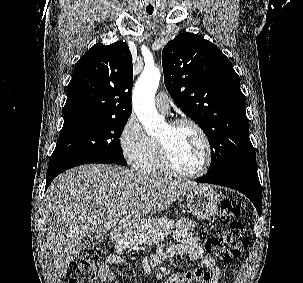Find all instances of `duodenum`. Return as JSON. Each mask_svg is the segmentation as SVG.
I'll list each match as a JSON object with an SVG mask.
<instances>
[{
  "label": "duodenum",
  "instance_id": "obj_1",
  "mask_svg": "<svg viewBox=\"0 0 303 283\" xmlns=\"http://www.w3.org/2000/svg\"><path fill=\"white\" fill-rule=\"evenodd\" d=\"M128 223L125 221L120 222L113 230L112 237L114 239L120 238L125 233Z\"/></svg>",
  "mask_w": 303,
  "mask_h": 283
}]
</instances>
